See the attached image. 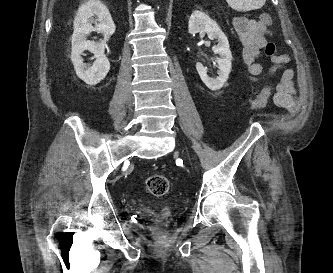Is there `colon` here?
I'll use <instances>...</instances> for the list:
<instances>
[{
  "label": "colon",
  "instance_id": "1",
  "mask_svg": "<svg viewBox=\"0 0 333 273\" xmlns=\"http://www.w3.org/2000/svg\"><path fill=\"white\" fill-rule=\"evenodd\" d=\"M261 21L270 26L272 25V17L268 13L261 15ZM276 53V47L273 42H268L265 45L264 54L266 57H273ZM272 94V87L266 85L262 87L256 95L250 99L247 105L253 110H259L266 106L270 96ZM147 189L154 196H163L169 191L170 183L166 176L161 174L151 175L147 179Z\"/></svg>",
  "mask_w": 333,
  "mask_h": 273
}]
</instances>
